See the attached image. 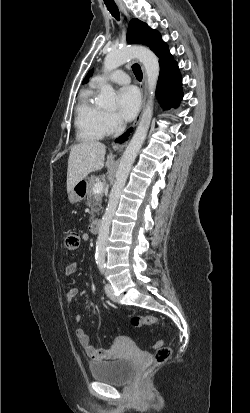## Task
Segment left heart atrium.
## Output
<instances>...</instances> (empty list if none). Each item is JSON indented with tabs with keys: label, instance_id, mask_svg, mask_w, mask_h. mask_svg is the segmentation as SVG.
Returning a JSON list of instances; mask_svg holds the SVG:
<instances>
[{
	"label": "left heart atrium",
	"instance_id": "obj_1",
	"mask_svg": "<svg viewBox=\"0 0 250 413\" xmlns=\"http://www.w3.org/2000/svg\"><path fill=\"white\" fill-rule=\"evenodd\" d=\"M118 107L121 116L127 120H132L138 113L140 107V95L136 88L125 87L118 93Z\"/></svg>",
	"mask_w": 250,
	"mask_h": 413
}]
</instances>
